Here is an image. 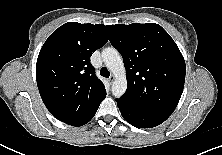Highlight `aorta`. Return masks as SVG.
<instances>
[{
    "label": "aorta",
    "mask_w": 222,
    "mask_h": 155,
    "mask_svg": "<svg viewBox=\"0 0 222 155\" xmlns=\"http://www.w3.org/2000/svg\"><path fill=\"white\" fill-rule=\"evenodd\" d=\"M102 59L107 68L113 73L112 94L115 97L122 96L127 89L125 66L120 53L113 47H107L102 51Z\"/></svg>",
    "instance_id": "aorta-1"
}]
</instances>
